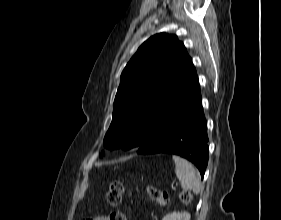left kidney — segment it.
Instances as JSON below:
<instances>
[{"instance_id": "left-kidney-1", "label": "left kidney", "mask_w": 281, "mask_h": 220, "mask_svg": "<svg viewBox=\"0 0 281 220\" xmlns=\"http://www.w3.org/2000/svg\"><path fill=\"white\" fill-rule=\"evenodd\" d=\"M191 215L188 212L168 213L162 220H190Z\"/></svg>"}]
</instances>
